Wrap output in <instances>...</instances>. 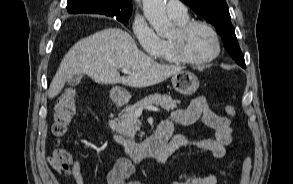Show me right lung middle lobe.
Wrapping results in <instances>:
<instances>
[{
    "mask_svg": "<svg viewBox=\"0 0 293 184\" xmlns=\"http://www.w3.org/2000/svg\"><path fill=\"white\" fill-rule=\"evenodd\" d=\"M130 15H117L116 18L120 22H126L129 19Z\"/></svg>",
    "mask_w": 293,
    "mask_h": 184,
    "instance_id": "dd1d6c3e",
    "label": "right lung middle lobe"
}]
</instances>
